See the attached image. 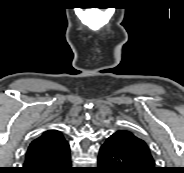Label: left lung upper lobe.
<instances>
[{"label": "left lung upper lobe", "mask_w": 184, "mask_h": 173, "mask_svg": "<svg viewBox=\"0 0 184 173\" xmlns=\"http://www.w3.org/2000/svg\"><path fill=\"white\" fill-rule=\"evenodd\" d=\"M121 131V130H120ZM124 147L138 161L139 165L152 172H157L154 159L148 145L128 130H122Z\"/></svg>", "instance_id": "5c2ea615"}]
</instances>
